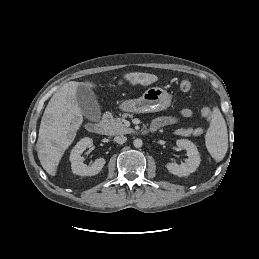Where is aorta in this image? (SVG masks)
<instances>
[{
  "label": "aorta",
  "mask_w": 259,
  "mask_h": 259,
  "mask_svg": "<svg viewBox=\"0 0 259 259\" xmlns=\"http://www.w3.org/2000/svg\"><path fill=\"white\" fill-rule=\"evenodd\" d=\"M133 145H134V147H136V148H140V147H142V145H143V141H142L140 138H136V139L133 141Z\"/></svg>",
  "instance_id": "762f6f07"
}]
</instances>
